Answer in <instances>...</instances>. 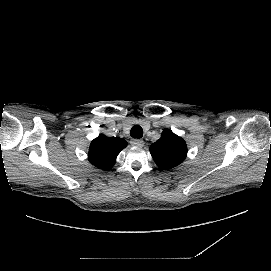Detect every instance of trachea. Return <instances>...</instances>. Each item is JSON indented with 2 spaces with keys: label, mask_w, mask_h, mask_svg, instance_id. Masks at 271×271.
I'll use <instances>...</instances> for the list:
<instances>
[{
  "label": "trachea",
  "mask_w": 271,
  "mask_h": 271,
  "mask_svg": "<svg viewBox=\"0 0 271 271\" xmlns=\"http://www.w3.org/2000/svg\"><path fill=\"white\" fill-rule=\"evenodd\" d=\"M130 135L133 138L140 139L143 136V129H142V127L139 126V125L133 126L132 129L130 130Z\"/></svg>",
  "instance_id": "3493384b"
}]
</instances>
